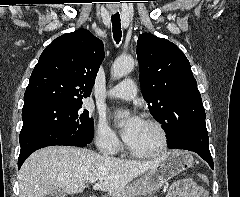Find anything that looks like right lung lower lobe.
I'll list each match as a JSON object with an SVG mask.
<instances>
[{"label":"right lung lower lobe","mask_w":240,"mask_h":197,"mask_svg":"<svg viewBox=\"0 0 240 197\" xmlns=\"http://www.w3.org/2000/svg\"><path fill=\"white\" fill-rule=\"evenodd\" d=\"M19 141L21 150L18 158V169L30 154L40 148L53 145L85 147L89 144L64 130L53 126L38 124H27L23 126Z\"/></svg>","instance_id":"98d812e1"}]
</instances>
